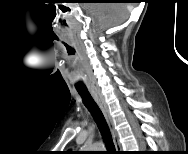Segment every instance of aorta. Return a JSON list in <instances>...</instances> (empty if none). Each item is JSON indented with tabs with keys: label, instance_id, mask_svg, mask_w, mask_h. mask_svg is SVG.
<instances>
[{
	"label": "aorta",
	"instance_id": "1",
	"mask_svg": "<svg viewBox=\"0 0 188 154\" xmlns=\"http://www.w3.org/2000/svg\"><path fill=\"white\" fill-rule=\"evenodd\" d=\"M89 149H104V145L102 143H96L88 146Z\"/></svg>",
	"mask_w": 188,
	"mask_h": 154
}]
</instances>
